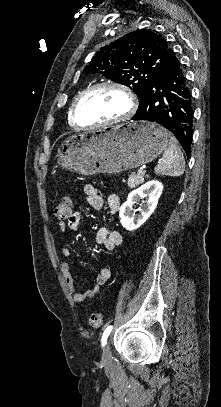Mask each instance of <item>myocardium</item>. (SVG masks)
<instances>
[{"label": "myocardium", "mask_w": 221, "mask_h": 407, "mask_svg": "<svg viewBox=\"0 0 221 407\" xmlns=\"http://www.w3.org/2000/svg\"><path fill=\"white\" fill-rule=\"evenodd\" d=\"M103 88H115V89H118V90L122 91V92L126 95V97H127V99H128V103H129L128 110H127V112H126L124 115H122V116H120V117H118V118H116V119H113V120H110V121H106V122H102V123H100V124L97 125V126H91V127H89V129H94V128H97V127H100V126H104V125H113V124H117V123L123 122V121L129 119L131 116H133V114L136 112V109H137V99H136L135 94L132 92V90H131L128 86H126V85H124V84H121V83H116V82H103V83H98V84L92 85V86H90L89 88H87V89H85L84 91H82V92L79 94V96L77 97V99L75 100V102H74V105H73L72 110H71L70 117H71L72 123H73L77 128H79V129H83V128H84V126L80 125V124H79V121H78V110H79V108H80L82 102H83L90 94H92V93L95 92L96 90L103 89Z\"/></svg>", "instance_id": "1"}]
</instances>
